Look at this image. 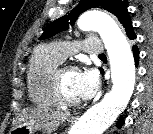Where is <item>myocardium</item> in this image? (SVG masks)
<instances>
[{
  "mask_svg": "<svg viewBox=\"0 0 153 134\" xmlns=\"http://www.w3.org/2000/svg\"><path fill=\"white\" fill-rule=\"evenodd\" d=\"M65 69H71L74 71H78V68L73 65L64 64V65L58 66L53 73L54 92H55V95L58 101L62 105L75 106V105L80 104V100H73V99L68 98L65 95L64 90H63L61 74Z\"/></svg>",
  "mask_w": 153,
  "mask_h": 134,
  "instance_id": "f54148a6",
  "label": "myocardium"
}]
</instances>
